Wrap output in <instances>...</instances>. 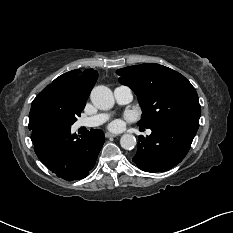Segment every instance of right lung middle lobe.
Returning a JSON list of instances; mask_svg holds the SVG:
<instances>
[{"label":"right lung middle lobe","instance_id":"dd1d6c3e","mask_svg":"<svg viewBox=\"0 0 233 233\" xmlns=\"http://www.w3.org/2000/svg\"><path fill=\"white\" fill-rule=\"evenodd\" d=\"M85 104L63 97L57 92H40L29 113V129L39 126L71 128Z\"/></svg>","mask_w":233,"mask_h":233}]
</instances>
